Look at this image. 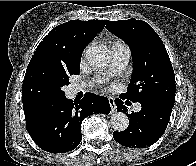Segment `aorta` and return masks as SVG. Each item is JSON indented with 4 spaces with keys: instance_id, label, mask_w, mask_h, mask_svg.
Masks as SVG:
<instances>
[{
    "instance_id": "762f6f07",
    "label": "aorta",
    "mask_w": 196,
    "mask_h": 166,
    "mask_svg": "<svg viewBox=\"0 0 196 166\" xmlns=\"http://www.w3.org/2000/svg\"><path fill=\"white\" fill-rule=\"evenodd\" d=\"M110 58V51L104 45H93L86 51V59L93 67L102 68L106 66ZM110 122L112 128L118 132L126 130L129 125V119L123 112H115L112 114Z\"/></svg>"
}]
</instances>
